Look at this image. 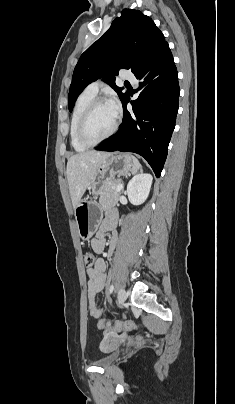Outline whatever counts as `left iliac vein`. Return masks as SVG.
I'll return each instance as SVG.
<instances>
[{
    "label": "left iliac vein",
    "mask_w": 235,
    "mask_h": 404,
    "mask_svg": "<svg viewBox=\"0 0 235 404\" xmlns=\"http://www.w3.org/2000/svg\"><path fill=\"white\" fill-rule=\"evenodd\" d=\"M126 299H127L126 291H125L123 288H121V289L118 291V296H117L118 305H119L120 307L123 306L124 303H125V301H126Z\"/></svg>",
    "instance_id": "left-iliac-vein-1"
}]
</instances>
